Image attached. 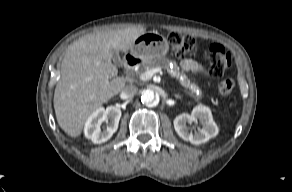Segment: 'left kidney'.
Returning a JSON list of instances; mask_svg holds the SVG:
<instances>
[{
    "mask_svg": "<svg viewBox=\"0 0 292 192\" xmlns=\"http://www.w3.org/2000/svg\"><path fill=\"white\" fill-rule=\"evenodd\" d=\"M198 120L203 126L202 129H199L198 133L195 134L189 132L186 123L197 122ZM173 124L176 133L183 140L194 145L205 143L218 134V127L213 120L211 110L202 104L195 106L191 114L182 113L178 115Z\"/></svg>",
    "mask_w": 292,
    "mask_h": 192,
    "instance_id": "1",
    "label": "left kidney"
}]
</instances>
